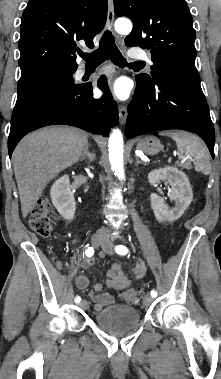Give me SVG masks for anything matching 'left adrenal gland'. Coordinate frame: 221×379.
<instances>
[{"mask_svg": "<svg viewBox=\"0 0 221 379\" xmlns=\"http://www.w3.org/2000/svg\"><path fill=\"white\" fill-rule=\"evenodd\" d=\"M138 164H146V163L142 162L138 157H136V165Z\"/></svg>", "mask_w": 221, "mask_h": 379, "instance_id": "1", "label": "left adrenal gland"}]
</instances>
